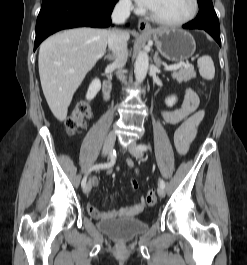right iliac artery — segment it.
Returning a JSON list of instances; mask_svg holds the SVG:
<instances>
[{"instance_id":"obj_1","label":"right iliac artery","mask_w":247,"mask_h":265,"mask_svg":"<svg viewBox=\"0 0 247 265\" xmlns=\"http://www.w3.org/2000/svg\"><path fill=\"white\" fill-rule=\"evenodd\" d=\"M115 156H116L115 151H111V153H110V158H111L110 162H107V163H104V164H96V165L92 166L89 169L88 173L93 171V170L105 169V168H109V167L113 166L114 163H115ZM86 182H87V175L84 176V178H83V180L81 182V186L83 188L86 186Z\"/></svg>"}]
</instances>
